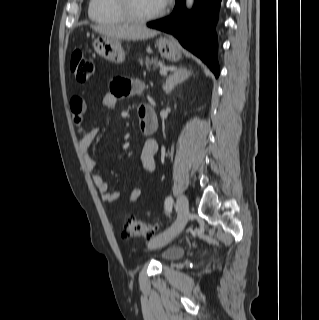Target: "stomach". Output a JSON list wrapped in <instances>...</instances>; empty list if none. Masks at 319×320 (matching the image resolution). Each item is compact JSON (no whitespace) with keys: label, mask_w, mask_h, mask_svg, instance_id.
<instances>
[{"label":"stomach","mask_w":319,"mask_h":320,"mask_svg":"<svg viewBox=\"0 0 319 320\" xmlns=\"http://www.w3.org/2000/svg\"><path fill=\"white\" fill-rule=\"evenodd\" d=\"M156 46L163 58L174 62L181 58L179 46L172 37H160L156 40ZM93 47L99 56L110 62L122 63L125 60L120 39L102 35L93 41Z\"/></svg>","instance_id":"obj_1"}]
</instances>
